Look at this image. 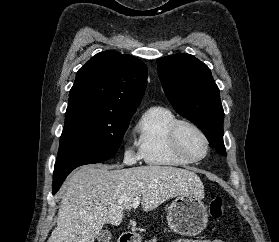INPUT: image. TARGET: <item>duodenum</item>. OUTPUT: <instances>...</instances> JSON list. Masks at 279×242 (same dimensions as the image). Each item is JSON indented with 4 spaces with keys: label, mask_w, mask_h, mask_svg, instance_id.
I'll return each instance as SVG.
<instances>
[{
    "label": "duodenum",
    "mask_w": 279,
    "mask_h": 242,
    "mask_svg": "<svg viewBox=\"0 0 279 242\" xmlns=\"http://www.w3.org/2000/svg\"><path fill=\"white\" fill-rule=\"evenodd\" d=\"M119 242H132V236L130 234H123L120 236Z\"/></svg>",
    "instance_id": "1"
}]
</instances>
